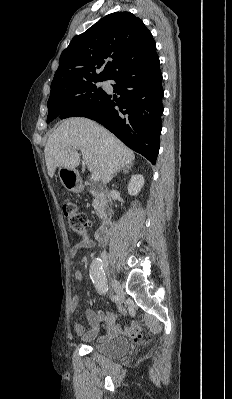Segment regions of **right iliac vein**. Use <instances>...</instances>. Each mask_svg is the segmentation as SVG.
<instances>
[{"label": "right iliac vein", "mask_w": 232, "mask_h": 399, "mask_svg": "<svg viewBox=\"0 0 232 399\" xmlns=\"http://www.w3.org/2000/svg\"><path fill=\"white\" fill-rule=\"evenodd\" d=\"M105 269L107 270V272H110L111 266H110V262L106 261L105 262ZM111 280V284L114 285V288L117 290L116 294L119 296V301L123 302L125 299V293L123 291V287L120 286V283L115 279L114 276L110 277Z\"/></svg>", "instance_id": "obj_1"}]
</instances>
